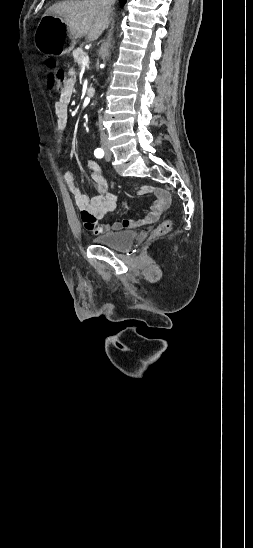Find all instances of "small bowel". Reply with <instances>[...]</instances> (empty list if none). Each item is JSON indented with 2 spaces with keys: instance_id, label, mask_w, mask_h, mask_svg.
Segmentation results:
<instances>
[{
  "instance_id": "c3829d8e",
  "label": "small bowel",
  "mask_w": 253,
  "mask_h": 548,
  "mask_svg": "<svg viewBox=\"0 0 253 548\" xmlns=\"http://www.w3.org/2000/svg\"><path fill=\"white\" fill-rule=\"evenodd\" d=\"M74 90L75 79L71 72V77L67 80L65 91L61 93L60 98L54 104L56 129L60 135L59 142H61V136L68 126L69 103ZM88 167L91 170V180L99 192L98 195L89 198L87 195L83 194L71 172H66L64 174V180L77 207L82 211L81 218L85 227L94 234H101L111 230H120L122 228H135L153 223L170 206L171 195L166 189L154 188L147 185L142 186L137 192L138 196L144 197L152 192L156 195L155 203L146 215L134 220H123L121 222H113L105 225L99 224L98 221L100 219L116 209L117 197L109 191L108 183L101 173L100 166L94 160H89Z\"/></svg>"
}]
</instances>
